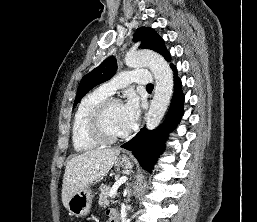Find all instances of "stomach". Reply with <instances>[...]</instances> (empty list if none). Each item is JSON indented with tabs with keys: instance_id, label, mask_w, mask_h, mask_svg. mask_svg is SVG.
I'll return each instance as SVG.
<instances>
[{
	"instance_id": "1",
	"label": "stomach",
	"mask_w": 257,
	"mask_h": 222,
	"mask_svg": "<svg viewBox=\"0 0 257 222\" xmlns=\"http://www.w3.org/2000/svg\"><path fill=\"white\" fill-rule=\"evenodd\" d=\"M115 164L125 169H131L133 163L126 156L119 157ZM92 191L89 186L74 192L68 200L67 209L71 215L76 217L86 216L92 204Z\"/></svg>"
}]
</instances>
